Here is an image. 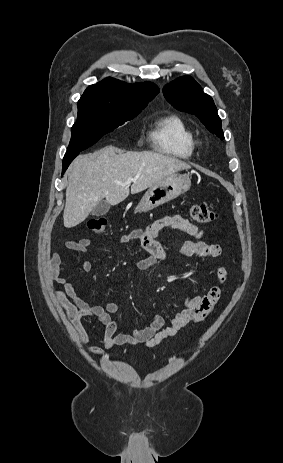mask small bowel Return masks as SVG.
I'll use <instances>...</instances> for the list:
<instances>
[{
  "mask_svg": "<svg viewBox=\"0 0 283 463\" xmlns=\"http://www.w3.org/2000/svg\"><path fill=\"white\" fill-rule=\"evenodd\" d=\"M165 228L179 230L196 239L195 241H184L180 245L179 253L185 257L219 258L222 255V249L218 244L207 242L204 232L180 215H169L157 219L145 229H136L122 235L118 239V243L123 245L133 240L139 241L142 248L149 254V257L137 259L135 263L139 268L146 269L169 257L166 249L157 239L159 233ZM91 244L90 239L83 238L67 241L65 247L70 251L86 252ZM61 263L62 259L59 252H52L49 260L50 276L54 282L63 287V290H54L55 299L58 305L66 312L67 318L74 326L81 344L89 342V335L82 324L83 318L93 317L104 325L105 331L101 337L104 349L123 345L155 347L162 341L175 336L190 323L204 320L218 303L221 297L222 285L226 282L228 275L227 269L219 265L212 270L215 284L206 294L188 299L185 308L177 312L169 322H166L161 315L155 314L147 325L135 328L131 333H125L121 331L117 320L113 316L119 310L118 305L108 302L102 307L85 302L77 294L72 282L60 274ZM81 268L83 271L89 272L92 270V263L84 259L81 261ZM88 351L91 354L100 356L104 350L101 347L91 346Z\"/></svg>",
  "mask_w": 283,
  "mask_h": 463,
  "instance_id": "1",
  "label": "small bowel"
}]
</instances>
